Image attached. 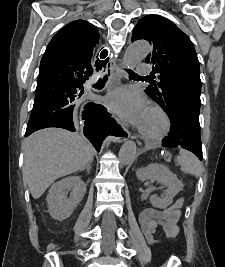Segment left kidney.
I'll use <instances>...</instances> for the list:
<instances>
[{"instance_id": "left-kidney-1", "label": "left kidney", "mask_w": 225, "mask_h": 267, "mask_svg": "<svg viewBox=\"0 0 225 267\" xmlns=\"http://www.w3.org/2000/svg\"><path fill=\"white\" fill-rule=\"evenodd\" d=\"M136 176L140 181L154 180L167 187L164 196H151L152 206L165 209L172 204L173 198L183 189L181 181L166 166L161 164H150L136 171Z\"/></svg>"}]
</instances>
